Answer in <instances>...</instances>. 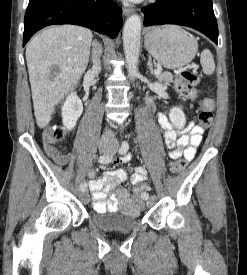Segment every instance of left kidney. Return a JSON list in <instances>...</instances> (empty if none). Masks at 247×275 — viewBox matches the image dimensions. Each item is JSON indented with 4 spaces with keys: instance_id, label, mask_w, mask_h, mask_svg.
<instances>
[{
    "instance_id": "1",
    "label": "left kidney",
    "mask_w": 247,
    "mask_h": 275,
    "mask_svg": "<svg viewBox=\"0 0 247 275\" xmlns=\"http://www.w3.org/2000/svg\"><path fill=\"white\" fill-rule=\"evenodd\" d=\"M169 118L175 128H184L186 124V117L183 110L180 107L171 108L169 111Z\"/></svg>"
}]
</instances>
